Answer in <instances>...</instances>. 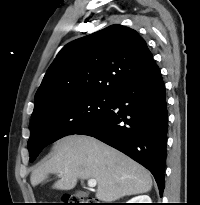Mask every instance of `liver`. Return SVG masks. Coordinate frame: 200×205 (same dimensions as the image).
<instances>
[{"instance_id":"6515ba94","label":"liver","mask_w":200,"mask_h":205,"mask_svg":"<svg viewBox=\"0 0 200 205\" xmlns=\"http://www.w3.org/2000/svg\"><path fill=\"white\" fill-rule=\"evenodd\" d=\"M49 160L32 171L30 181L37 186L57 174L54 189L71 190L78 179L97 181L96 198L107 203L124 196L149 192L152 178L143 166L104 144L85 135H70L58 140Z\"/></svg>"}]
</instances>
